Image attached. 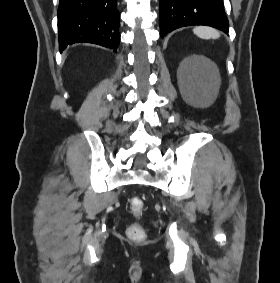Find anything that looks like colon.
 <instances>
[{"label": "colon", "mask_w": 280, "mask_h": 283, "mask_svg": "<svg viewBox=\"0 0 280 283\" xmlns=\"http://www.w3.org/2000/svg\"><path fill=\"white\" fill-rule=\"evenodd\" d=\"M130 209L133 212V214L137 217L140 218L141 214H142V210L144 207V202L141 198L139 197H133L130 199ZM127 234L130 238L133 239H142L144 236V229L143 226L138 223L135 222L133 224H131L127 230Z\"/></svg>", "instance_id": "5ec220e1"}]
</instances>
